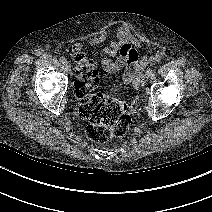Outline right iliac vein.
Segmentation results:
<instances>
[{
  "instance_id": "obj_1",
  "label": "right iliac vein",
  "mask_w": 212,
  "mask_h": 212,
  "mask_svg": "<svg viewBox=\"0 0 212 212\" xmlns=\"http://www.w3.org/2000/svg\"><path fill=\"white\" fill-rule=\"evenodd\" d=\"M64 67H65V70L67 71V72H70L71 71V65L69 64V63H65L64 64Z\"/></svg>"
}]
</instances>
